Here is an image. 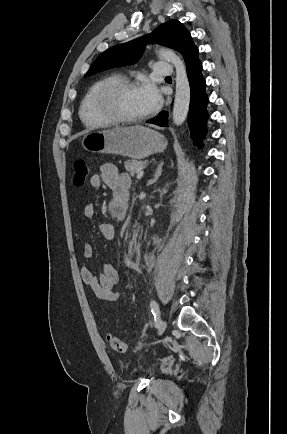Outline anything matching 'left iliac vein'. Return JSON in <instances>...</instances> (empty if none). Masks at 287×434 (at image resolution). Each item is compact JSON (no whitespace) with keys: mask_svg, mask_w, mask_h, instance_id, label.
I'll list each match as a JSON object with an SVG mask.
<instances>
[{"mask_svg":"<svg viewBox=\"0 0 287 434\" xmlns=\"http://www.w3.org/2000/svg\"><path fill=\"white\" fill-rule=\"evenodd\" d=\"M166 327H167V321L165 319H162L157 326V336L162 335Z\"/></svg>","mask_w":287,"mask_h":434,"instance_id":"obj_1","label":"left iliac vein"}]
</instances>
